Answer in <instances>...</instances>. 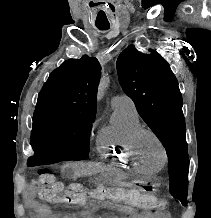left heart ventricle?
I'll use <instances>...</instances> for the list:
<instances>
[{"label":"left heart ventricle","mask_w":211,"mask_h":218,"mask_svg":"<svg viewBox=\"0 0 211 218\" xmlns=\"http://www.w3.org/2000/svg\"><path fill=\"white\" fill-rule=\"evenodd\" d=\"M139 158L146 163L158 166L161 162V151L159 145L150 135H144L138 148Z\"/></svg>","instance_id":"1"}]
</instances>
